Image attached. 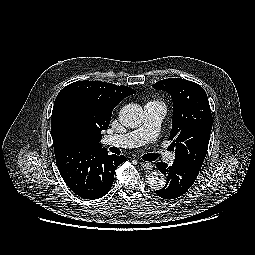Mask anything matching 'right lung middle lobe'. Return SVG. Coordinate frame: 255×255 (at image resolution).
Returning a JSON list of instances; mask_svg holds the SVG:
<instances>
[{"instance_id": "1", "label": "right lung middle lobe", "mask_w": 255, "mask_h": 255, "mask_svg": "<svg viewBox=\"0 0 255 255\" xmlns=\"http://www.w3.org/2000/svg\"><path fill=\"white\" fill-rule=\"evenodd\" d=\"M82 123L74 111H68L63 118L62 131L70 143H75L80 135Z\"/></svg>"}]
</instances>
